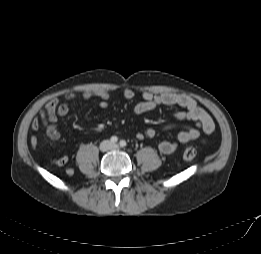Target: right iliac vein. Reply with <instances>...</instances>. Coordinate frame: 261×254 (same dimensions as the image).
Here are the masks:
<instances>
[{
  "label": "right iliac vein",
  "mask_w": 261,
  "mask_h": 254,
  "mask_svg": "<svg viewBox=\"0 0 261 254\" xmlns=\"http://www.w3.org/2000/svg\"><path fill=\"white\" fill-rule=\"evenodd\" d=\"M111 148V143L109 141H103L100 144V150L105 152L108 151Z\"/></svg>",
  "instance_id": "obj_1"
}]
</instances>
